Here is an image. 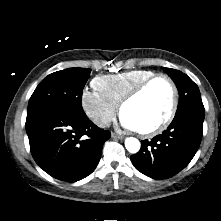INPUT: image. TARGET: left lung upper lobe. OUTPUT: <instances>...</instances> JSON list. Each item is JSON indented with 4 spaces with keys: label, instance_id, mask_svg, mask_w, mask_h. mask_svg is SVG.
<instances>
[{
    "label": "left lung upper lobe",
    "instance_id": "1",
    "mask_svg": "<svg viewBox=\"0 0 221 221\" xmlns=\"http://www.w3.org/2000/svg\"><path fill=\"white\" fill-rule=\"evenodd\" d=\"M164 71L171 76L179 91L177 112L188 107H203L198 86L186 74L171 68H164Z\"/></svg>",
    "mask_w": 221,
    "mask_h": 221
}]
</instances>
